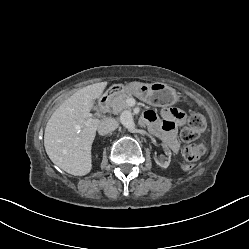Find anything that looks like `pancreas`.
I'll use <instances>...</instances> for the list:
<instances>
[{
    "mask_svg": "<svg viewBox=\"0 0 249 249\" xmlns=\"http://www.w3.org/2000/svg\"><path fill=\"white\" fill-rule=\"evenodd\" d=\"M129 98L127 94H120L110 98L109 106L112 108L114 114H118L123 110L130 109L126 100Z\"/></svg>",
    "mask_w": 249,
    "mask_h": 249,
    "instance_id": "cf45deb5",
    "label": "pancreas"
}]
</instances>
